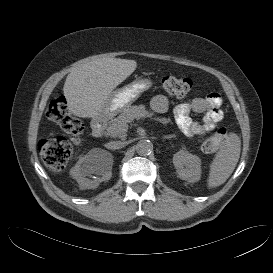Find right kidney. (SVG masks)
Returning <instances> with one entry per match:
<instances>
[{"mask_svg": "<svg viewBox=\"0 0 273 273\" xmlns=\"http://www.w3.org/2000/svg\"><path fill=\"white\" fill-rule=\"evenodd\" d=\"M95 155L88 154L81 157L76 166L71 170L73 178L76 179L80 187L93 189L103 180H108L111 177L112 158L109 155L102 156L101 159H95ZM92 174L101 175L94 180H89L86 176Z\"/></svg>", "mask_w": 273, "mask_h": 273, "instance_id": "1", "label": "right kidney"}]
</instances>
